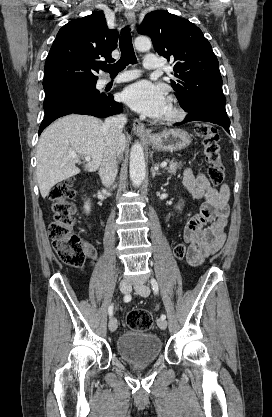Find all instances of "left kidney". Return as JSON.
I'll use <instances>...</instances> for the list:
<instances>
[{
	"label": "left kidney",
	"mask_w": 272,
	"mask_h": 417,
	"mask_svg": "<svg viewBox=\"0 0 272 417\" xmlns=\"http://www.w3.org/2000/svg\"><path fill=\"white\" fill-rule=\"evenodd\" d=\"M177 208L180 209V205H178Z\"/></svg>",
	"instance_id": "obj_1"
}]
</instances>
